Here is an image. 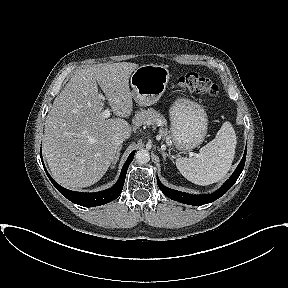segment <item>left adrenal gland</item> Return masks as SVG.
I'll list each match as a JSON object with an SVG mask.
<instances>
[{
  "mask_svg": "<svg viewBox=\"0 0 288 288\" xmlns=\"http://www.w3.org/2000/svg\"><path fill=\"white\" fill-rule=\"evenodd\" d=\"M159 151L161 152L164 160H166V158L168 157L172 162H174L173 157L171 155L167 154L164 151V148H159Z\"/></svg>",
  "mask_w": 288,
  "mask_h": 288,
  "instance_id": "left-adrenal-gland-1",
  "label": "left adrenal gland"
}]
</instances>
